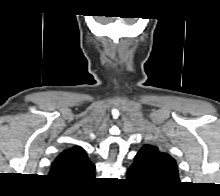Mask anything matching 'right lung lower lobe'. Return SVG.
Segmentation results:
<instances>
[{
  "label": "right lung lower lobe",
  "instance_id": "98d812e1",
  "mask_svg": "<svg viewBox=\"0 0 220 196\" xmlns=\"http://www.w3.org/2000/svg\"><path fill=\"white\" fill-rule=\"evenodd\" d=\"M90 178H95V177H94V175H93V176H91ZM90 178H89V179H90ZM65 183L68 184V185H77V184H80V183H69V182H65Z\"/></svg>",
  "mask_w": 220,
  "mask_h": 196
}]
</instances>
